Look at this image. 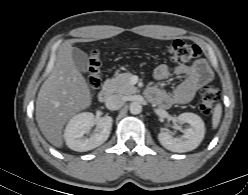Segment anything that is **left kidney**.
Wrapping results in <instances>:
<instances>
[{
    "mask_svg": "<svg viewBox=\"0 0 248 195\" xmlns=\"http://www.w3.org/2000/svg\"><path fill=\"white\" fill-rule=\"evenodd\" d=\"M180 124L187 123L189 127L184 129L183 135L175 137L170 131L160 132L158 140L160 144L172 152H188L199 146L204 138L205 126L203 120L194 113H182L177 117Z\"/></svg>",
    "mask_w": 248,
    "mask_h": 195,
    "instance_id": "1",
    "label": "left kidney"
}]
</instances>
